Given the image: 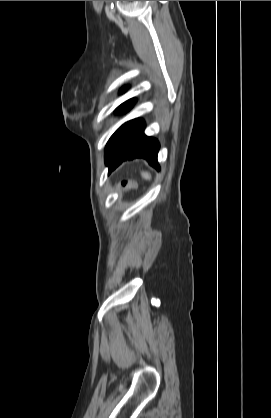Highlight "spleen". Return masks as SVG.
Segmentation results:
<instances>
[{
	"instance_id": "spleen-1",
	"label": "spleen",
	"mask_w": 271,
	"mask_h": 418,
	"mask_svg": "<svg viewBox=\"0 0 271 418\" xmlns=\"http://www.w3.org/2000/svg\"><path fill=\"white\" fill-rule=\"evenodd\" d=\"M141 176L146 179V180H150L151 179V174L149 172L146 171H142L141 172Z\"/></svg>"
}]
</instances>
